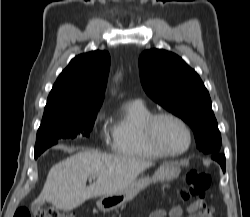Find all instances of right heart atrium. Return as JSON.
I'll use <instances>...</instances> for the list:
<instances>
[{
  "label": "right heart atrium",
  "mask_w": 250,
  "mask_h": 217,
  "mask_svg": "<svg viewBox=\"0 0 250 217\" xmlns=\"http://www.w3.org/2000/svg\"><path fill=\"white\" fill-rule=\"evenodd\" d=\"M105 118H106V111L104 109H100L97 112L96 117H95V121H94L95 126L102 124L104 122ZM101 136H102V138L107 140V134L105 131L101 132Z\"/></svg>",
  "instance_id": "1"
}]
</instances>
